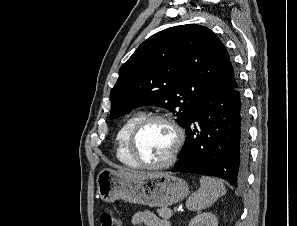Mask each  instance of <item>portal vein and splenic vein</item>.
Masks as SVG:
<instances>
[{
    "mask_svg": "<svg viewBox=\"0 0 297 226\" xmlns=\"http://www.w3.org/2000/svg\"><path fill=\"white\" fill-rule=\"evenodd\" d=\"M173 210H174V211H177V210H178V208L175 206V207L173 208Z\"/></svg>",
    "mask_w": 297,
    "mask_h": 226,
    "instance_id": "18ae733b",
    "label": "portal vein and splenic vein"
}]
</instances>
